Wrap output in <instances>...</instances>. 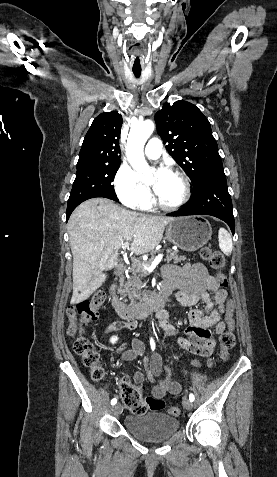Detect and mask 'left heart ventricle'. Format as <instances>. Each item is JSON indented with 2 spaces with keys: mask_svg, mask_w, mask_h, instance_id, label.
Returning <instances> with one entry per match:
<instances>
[{
  "mask_svg": "<svg viewBox=\"0 0 277 477\" xmlns=\"http://www.w3.org/2000/svg\"><path fill=\"white\" fill-rule=\"evenodd\" d=\"M151 185L155 188L159 198L166 204L178 202L183 195V183L172 173L162 181H159L158 175L155 174L151 180Z\"/></svg>",
  "mask_w": 277,
  "mask_h": 477,
  "instance_id": "1",
  "label": "left heart ventricle"
}]
</instances>
